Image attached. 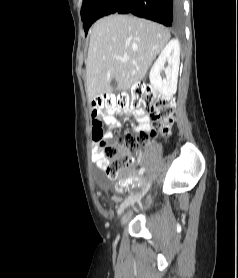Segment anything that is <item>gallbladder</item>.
<instances>
[{
  "instance_id": "gallbladder-1",
  "label": "gallbladder",
  "mask_w": 238,
  "mask_h": 278,
  "mask_svg": "<svg viewBox=\"0 0 238 278\" xmlns=\"http://www.w3.org/2000/svg\"><path fill=\"white\" fill-rule=\"evenodd\" d=\"M111 85H112L113 87H116V85H117L116 80H112V81H111Z\"/></svg>"
}]
</instances>
